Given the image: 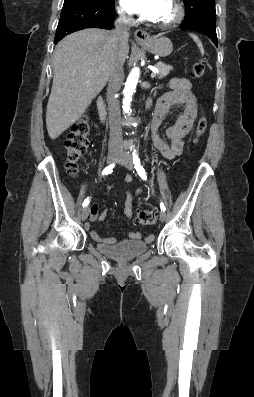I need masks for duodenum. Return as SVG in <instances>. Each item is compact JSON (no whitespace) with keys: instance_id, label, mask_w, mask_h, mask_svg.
<instances>
[{"instance_id":"obj_1","label":"duodenum","mask_w":254,"mask_h":397,"mask_svg":"<svg viewBox=\"0 0 254 397\" xmlns=\"http://www.w3.org/2000/svg\"><path fill=\"white\" fill-rule=\"evenodd\" d=\"M147 107H149V102L147 103ZM97 110L100 120L104 122L106 120L107 110H106L105 101L102 96H99L97 99Z\"/></svg>"}]
</instances>
